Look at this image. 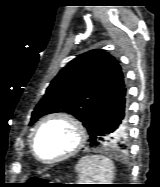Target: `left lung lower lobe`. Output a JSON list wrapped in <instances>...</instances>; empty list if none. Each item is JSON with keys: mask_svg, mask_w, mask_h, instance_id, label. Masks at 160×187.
Segmentation results:
<instances>
[{"mask_svg": "<svg viewBox=\"0 0 160 187\" xmlns=\"http://www.w3.org/2000/svg\"><path fill=\"white\" fill-rule=\"evenodd\" d=\"M125 96L126 89L123 87L103 106L89 131L90 146L124 150L123 139L118 137L114 140L113 135L120 127L125 128L123 136L126 134Z\"/></svg>", "mask_w": 160, "mask_h": 187, "instance_id": "0a47b994", "label": "left lung lower lobe"}]
</instances>
